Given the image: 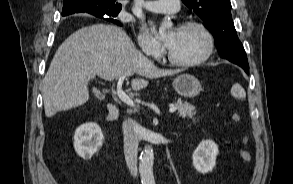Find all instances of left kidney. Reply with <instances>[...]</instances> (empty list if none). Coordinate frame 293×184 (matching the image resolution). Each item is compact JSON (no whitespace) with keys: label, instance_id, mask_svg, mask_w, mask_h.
Masks as SVG:
<instances>
[{"label":"left kidney","instance_id":"5707ae66","mask_svg":"<svg viewBox=\"0 0 293 184\" xmlns=\"http://www.w3.org/2000/svg\"><path fill=\"white\" fill-rule=\"evenodd\" d=\"M218 146L212 140H203L192 155L194 168L202 174L211 172L216 165Z\"/></svg>","mask_w":293,"mask_h":184}]
</instances>
